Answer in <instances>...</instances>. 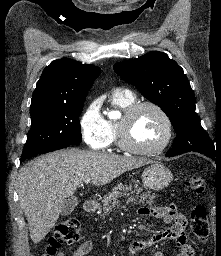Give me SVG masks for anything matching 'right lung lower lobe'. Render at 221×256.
<instances>
[{
  "label": "right lung lower lobe",
  "instance_id": "right-lung-lower-lobe-1",
  "mask_svg": "<svg viewBox=\"0 0 221 256\" xmlns=\"http://www.w3.org/2000/svg\"><path fill=\"white\" fill-rule=\"evenodd\" d=\"M68 146H69V145H59V146H55V147H52V148H50V149H48V150H46V151H44V152H42V153H40V154H44V153H48V152L55 151V150H58V149L66 148V147H68Z\"/></svg>",
  "mask_w": 221,
  "mask_h": 256
}]
</instances>
